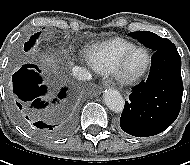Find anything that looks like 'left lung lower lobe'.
Wrapping results in <instances>:
<instances>
[{
    "label": "left lung lower lobe",
    "instance_id": "obj_1",
    "mask_svg": "<svg viewBox=\"0 0 190 165\" xmlns=\"http://www.w3.org/2000/svg\"><path fill=\"white\" fill-rule=\"evenodd\" d=\"M182 94L181 57L170 43L154 52L148 79L125 102L120 127L137 137L161 133L176 120Z\"/></svg>",
    "mask_w": 190,
    "mask_h": 165
}]
</instances>
